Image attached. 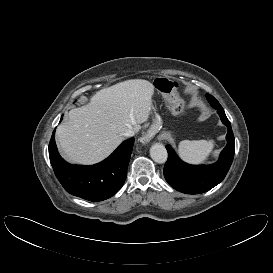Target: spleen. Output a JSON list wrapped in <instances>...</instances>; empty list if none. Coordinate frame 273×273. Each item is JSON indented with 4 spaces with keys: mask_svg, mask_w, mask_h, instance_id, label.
<instances>
[{
    "mask_svg": "<svg viewBox=\"0 0 273 273\" xmlns=\"http://www.w3.org/2000/svg\"><path fill=\"white\" fill-rule=\"evenodd\" d=\"M214 148L213 140H183L179 143L180 157L191 164L205 162Z\"/></svg>",
    "mask_w": 273,
    "mask_h": 273,
    "instance_id": "3e777b00",
    "label": "spleen"
}]
</instances>
